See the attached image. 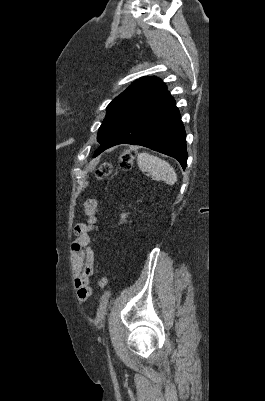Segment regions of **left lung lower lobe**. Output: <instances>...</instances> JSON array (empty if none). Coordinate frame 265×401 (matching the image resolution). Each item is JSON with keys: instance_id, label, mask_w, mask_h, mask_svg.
<instances>
[{"instance_id": "obj_1", "label": "left lung lower lobe", "mask_w": 265, "mask_h": 401, "mask_svg": "<svg viewBox=\"0 0 265 401\" xmlns=\"http://www.w3.org/2000/svg\"><path fill=\"white\" fill-rule=\"evenodd\" d=\"M119 144L141 145L187 165L186 132L173 97L168 91L125 121L103 141L94 157Z\"/></svg>"}]
</instances>
